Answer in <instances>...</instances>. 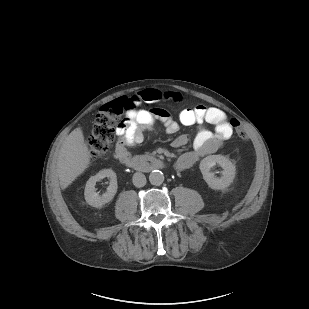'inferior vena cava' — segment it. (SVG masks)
<instances>
[{
  "instance_id": "obj_1",
  "label": "inferior vena cava",
  "mask_w": 309,
  "mask_h": 309,
  "mask_svg": "<svg viewBox=\"0 0 309 309\" xmlns=\"http://www.w3.org/2000/svg\"><path fill=\"white\" fill-rule=\"evenodd\" d=\"M132 180L136 187H143L146 185V177L141 172L134 173Z\"/></svg>"
}]
</instances>
